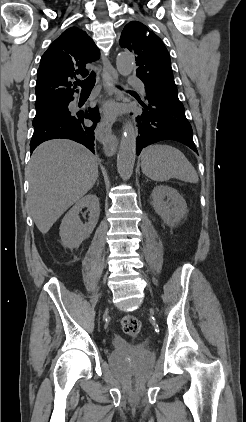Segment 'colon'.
<instances>
[{"label":"colon","mask_w":246,"mask_h":422,"mask_svg":"<svg viewBox=\"0 0 246 422\" xmlns=\"http://www.w3.org/2000/svg\"><path fill=\"white\" fill-rule=\"evenodd\" d=\"M121 327L125 334L135 337L141 330V322L133 315H126L121 320Z\"/></svg>","instance_id":"obj_1"}]
</instances>
